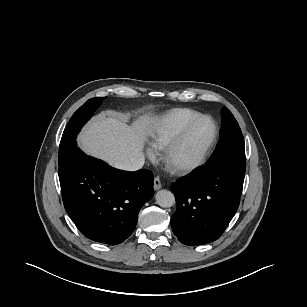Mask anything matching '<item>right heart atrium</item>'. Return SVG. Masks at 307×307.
Masks as SVG:
<instances>
[{
    "label": "right heart atrium",
    "mask_w": 307,
    "mask_h": 307,
    "mask_svg": "<svg viewBox=\"0 0 307 307\" xmlns=\"http://www.w3.org/2000/svg\"><path fill=\"white\" fill-rule=\"evenodd\" d=\"M148 154H149L150 157H153V156H154V154H153L152 151H149Z\"/></svg>",
    "instance_id": "d8ad5b80"
}]
</instances>
